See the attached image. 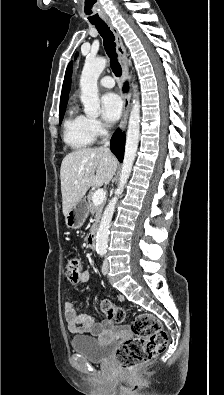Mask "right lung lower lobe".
<instances>
[{
    "label": "right lung lower lobe",
    "instance_id": "98d812e1",
    "mask_svg": "<svg viewBox=\"0 0 224 395\" xmlns=\"http://www.w3.org/2000/svg\"><path fill=\"white\" fill-rule=\"evenodd\" d=\"M127 86L124 87V91L127 90ZM124 146H125V140H124V135L123 133L120 132L118 129L112 139H111V151L116 155L118 160L122 162L123 156H124Z\"/></svg>",
    "mask_w": 224,
    "mask_h": 395
}]
</instances>
